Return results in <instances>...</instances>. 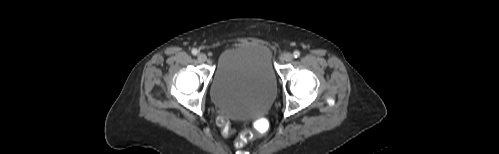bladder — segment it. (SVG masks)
I'll list each match as a JSON object with an SVG mask.
<instances>
[{"label":"bladder","instance_id":"bladder-1","mask_svg":"<svg viewBox=\"0 0 499 154\" xmlns=\"http://www.w3.org/2000/svg\"><path fill=\"white\" fill-rule=\"evenodd\" d=\"M213 104L235 118L267 111L277 93L271 49L264 43H241L218 57L211 82Z\"/></svg>","mask_w":499,"mask_h":154}]
</instances>
